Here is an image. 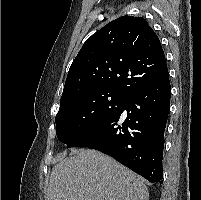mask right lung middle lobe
<instances>
[{
  "instance_id": "right-lung-middle-lobe-1",
  "label": "right lung middle lobe",
  "mask_w": 201,
  "mask_h": 200,
  "mask_svg": "<svg viewBox=\"0 0 201 200\" xmlns=\"http://www.w3.org/2000/svg\"><path fill=\"white\" fill-rule=\"evenodd\" d=\"M128 96L115 91H93L60 103L57 138L67 145L120 108Z\"/></svg>"
}]
</instances>
